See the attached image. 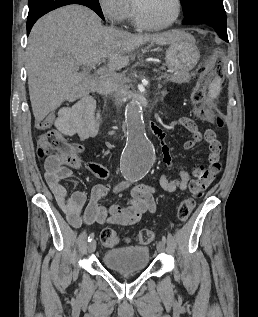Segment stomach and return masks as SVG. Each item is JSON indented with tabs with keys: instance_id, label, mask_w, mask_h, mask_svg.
Listing matches in <instances>:
<instances>
[{
	"instance_id": "obj_1",
	"label": "stomach",
	"mask_w": 258,
	"mask_h": 317,
	"mask_svg": "<svg viewBox=\"0 0 258 317\" xmlns=\"http://www.w3.org/2000/svg\"><path fill=\"white\" fill-rule=\"evenodd\" d=\"M150 46H153V42ZM199 56L194 36L184 30H182L180 40L171 42L165 52L168 68L175 74H181L182 78H187L189 70L198 62Z\"/></svg>"
}]
</instances>
